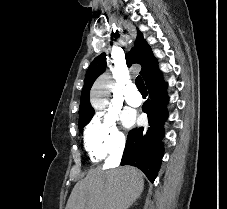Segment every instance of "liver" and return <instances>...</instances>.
Masks as SVG:
<instances>
[{"label": "liver", "mask_w": 227, "mask_h": 209, "mask_svg": "<svg viewBox=\"0 0 227 209\" xmlns=\"http://www.w3.org/2000/svg\"><path fill=\"white\" fill-rule=\"evenodd\" d=\"M143 189L144 175L135 167L91 169L75 185L66 209H129Z\"/></svg>", "instance_id": "liver-1"}]
</instances>
